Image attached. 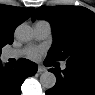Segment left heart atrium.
<instances>
[{"instance_id": "39dd6f15", "label": "left heart atrium", "mask_w": 95, "mask_h": 95, "mask_svg": "<svg viewBox=\"0 0 95 95\" xmlns=\"http://www.w3.org/2000/svg\"><path fill=\"white\" fill-rule=\"evenodd\" d=\"M42 53V49L38 47H29L26 49V55L32 60H38Z\"/></svg>"}]
</instances>
